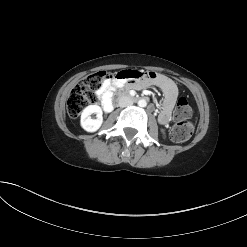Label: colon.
Masks as SVG:
<instances>
[{"mask_svg":"<svg viewBox=\"0 0 247 247\" xmlns=\"http://www.w3.org/2000/svg\"><path fill=\"white\" fill-rule=\"evenodd\" d=\"M136 71V70H135ZM114 74L99 71L89 75L81 84L75 86L67 101V111L70 117H78L83 109L96 102L97 92L105 80L113 79ZM192 110L186 100L178 99L174 110V126L171 130V139L175 142L187 141L193 133V125L188 120Z\"/></svg>","mask_w":247,"mask_h":247,"instance_id":"1","label":"colon"}]
</instances>
